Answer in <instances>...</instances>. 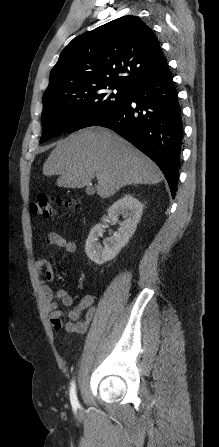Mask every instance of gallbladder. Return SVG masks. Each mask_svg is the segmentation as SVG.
<instances>
[{
  "mask_svg": "<svg viewBox=\"0 0 219 447\" xmlns=\"http://www.w3.org/2000/svg\"><path fill=\"white\" fill-rule=\"evenodd\" d=\"M86 193H87L88 195H93V194L95 193V189H94L93 187H88V188L86 189Z\"/></svg>",
  "mask_w": 219,
  "mask_h": 447,
  "instance_id": "bac80fb5",
  "label": "gallbladder"
}]
</instances>
